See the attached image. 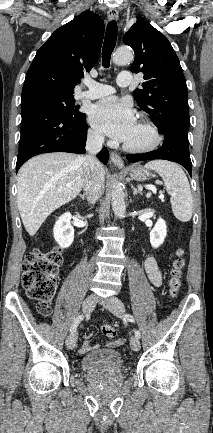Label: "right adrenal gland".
<instances>
[{
	"mask_svg": "<svg viewBox=\"0 0 213 433\" xmlns=\"http://www.w3.org/2000/svg\"><path fill=\"white\" fill-rule=\"evenodd\" d=\"M79 197H80L82 200H86V199H87L86 196H85V194H83V195L80 194Z\"/></svg>",
	"mask_w": 213,
	"mask_h": 433,
	"instance_id": "1",
	"label": "right adrenal gland"
}]
</instances>
